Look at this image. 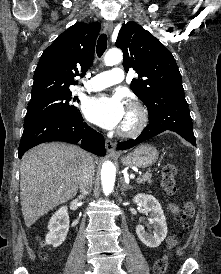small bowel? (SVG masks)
Instances as JSON below:
<instances>
[{
  "label": "small bowel",
  "mask_w": 221,
  "mask_h": 274,
  "mask_svg": "<svg viewBox=\"0 0 221 274\" xmlns=\"http://www.w3.org/2000/svg\"><path fill=\"white\" fill-rule=\"evenodd\" d=\"M169 209L174 214L178 213V210H179L178 206L173 203H169Z\"/></svg>",
  "instance_id": "c3829d8e"
}]
</instances>
